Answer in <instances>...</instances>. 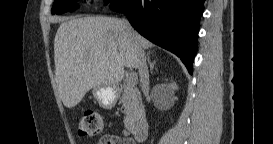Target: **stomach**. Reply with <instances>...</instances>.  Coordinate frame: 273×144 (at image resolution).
I'll use <instances>...</instances> for the list:
<instances>
[{
  "instance_id": "1",
  "label": "stomach",
  "mask_w": 273,
  "mask_h": 144,
  "mask_svg": "<svg viewBox=\"0 0 273 144\" xmlns=\"http://www.w3.org/2000/svg\"><path fill=\"white\" fill-rule=\"evenodd\" d=\"M93 96L100 107L104 109H112L116 105L119 91L114 87H95L93 88Z\"/></svg>"
}]
</instances>
